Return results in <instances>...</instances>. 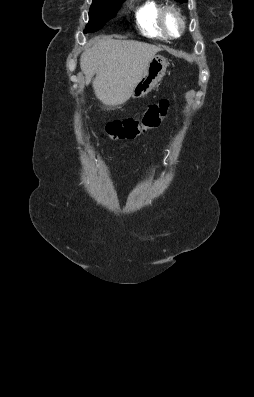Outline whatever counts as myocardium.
<instances>
[{"instance_id":"1","label":"myocardium","mask_w":254,"mask_h":397,"mask_svg":"<svg viewBox=\"0 0 254 397\" xmlns=\"http://www.w3.org/2000/svg\"><path fill=\"white\" fill-rule=\"evenodd\" d=\"M170 13L174 14L177 17V19L179 20L180 29L177 34L171 33L167 27V24H166V17ZM159 24H160V27H161L162 31L164 32V34L167 37L172 38V39L180 37L183 34L185 27H186V21H185V17L183 15V13L181 12V10L178 7H176L174 5H166V6L162 7V9L160 10V13H159Z\"/></svg>"}]
</instances>
